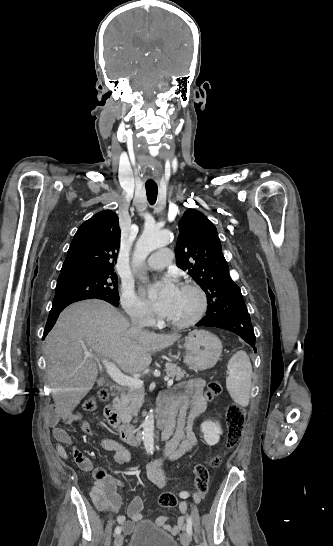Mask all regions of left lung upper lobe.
Returning a JSON list of instances; mask_svg holds the SVG:
<instances>
[{
	"mask_svg": "<svg viewBox=\"0 0 333 546\" xmlns=\"http://www.w3.org/2000/svg\"><path fill=\"white\" fill-rule=\"evenodd\" d=\"M179 231L176 264L207 294V315L245 306L239 286L230 277L214 224L203 213L187 209L179 221Z\"/></svg>",
	"mask_w": 333,
	"mask_h": 546,
	"instance_id": "obj_1",
	"label": "left lung upper lobe"
}]
</instances>
